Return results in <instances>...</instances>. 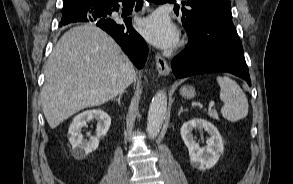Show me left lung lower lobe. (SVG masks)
Here are the masks:
<instances>
[{
	"label": "left lung lower lobe",
	"instance_id": "left-lung-lower-lobe-1",
	"mask_svg": "<svg viewBox=\"0 0 293 184\" xmlns=\"http://www.w3.org/2000/svg\"><path fill=\"white\" fill-rule=\"evenodd\" d=\"M182 23L189 44L172 61L176 77L205 72H229L251 84L242 44L232 19L207 14L193 24Z\"/></svg>",
	"mask_w": 293,
	"mask_h": 184
}]
</instances>
